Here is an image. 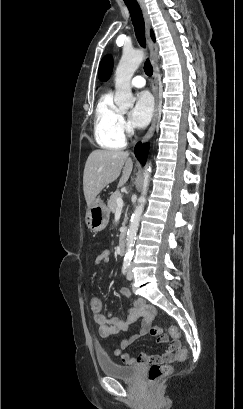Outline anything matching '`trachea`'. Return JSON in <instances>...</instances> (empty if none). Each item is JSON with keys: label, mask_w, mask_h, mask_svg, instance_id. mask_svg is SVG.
I'll return each mask as SVG.
<instances>
[{"label": "trachea", "mask_w": 243, "mask_h": 409, "mask_svg": "<svg viewBox=\"0 0 243 409\" xmlns=\"http://www.w3.org/2000/svg\"><path fill=\"white\" fill-rule=\"evenodd\" d=\"M130 15L132 19V23L134 26L135 30V35L136 38L140 44L141 47L145 48L146 47V41H145V24H144V19L143 15L140 9L139 4L137 1H131L129 2L128 0H124ZM144 71L147 76H151L153 74V68L152 65L149 61V59L146 60L144 64Z\"/></svg>", "instance_id": "obj_1"}]
</instances>
